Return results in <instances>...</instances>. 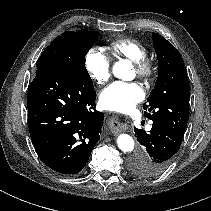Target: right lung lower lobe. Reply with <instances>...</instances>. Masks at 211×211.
<instances>
[{"label":"right lung lower lobe","mask_w":211,"mask_h":211,"mask_svg":"<svg viewBox=\"0 0 211 211\" xmlns=\"http://www.w3.org/2000/svg\"><path fill=\"white\" fill-rule=\"evenodd\" d=\"M28 94L29 131L40 159L52 170L76 174L100 140L104 114L96 92L56 63L40 56Z\"/></svg>","instance_id":"obj_1"}]
</instances>
